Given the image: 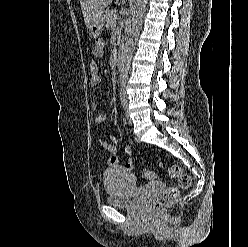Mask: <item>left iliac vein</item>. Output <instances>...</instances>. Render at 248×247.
I'll return each instance as SVG.
<instances>
[{
    "label": "left iliac vein",
    "mask_w": 248,
    "mask_h": 247,
    "mask_svg": "<svg viewBox=\"0 0 248 247\" xmlns=\"http://www.w3.org/2000/svg\"><path fill=\"white\" fill-rule=\"evenodd\" d=\"M126 119H127V121H128L129 124H132V119L130 117V114H129V111H128L127 108H126Z\"/></svg>",
    "instance_id": "left-iliac-vein-1"
}]
</instances>
